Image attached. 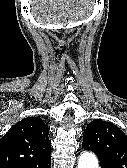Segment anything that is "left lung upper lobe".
I'll list each match as a JSON object with an SVG mask.
<instances>
[{
  "label": "left lung upper lobe",
  "instance_id": "obj_1",
  "mask_svg": "<svg viewBox=\"0 0 127 168\" xmlns=\"http://www.w3.org/2000/svg\"><path fill=\"white\" fill-rule=\"evenodd\" d=\"M82 147L108 168H127V136L113 123L95 119L83 133Z\"/></svg>",
  "mask_w": 127,
  "mask_h": 168
}]
</instances>
